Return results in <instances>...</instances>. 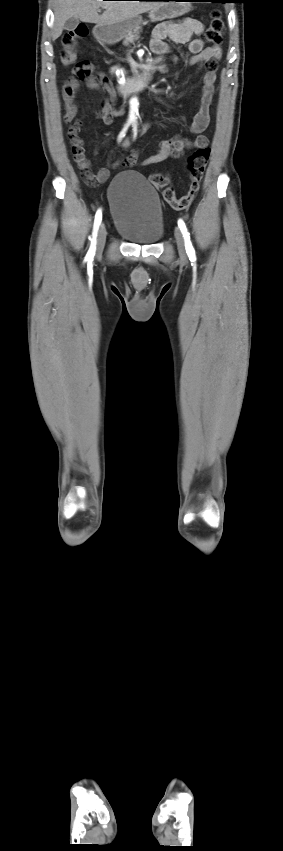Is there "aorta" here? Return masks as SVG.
<instances>
[{
	"instance_id": "obj_1",
	"label": "aorta",
	"mask_w": 283,
	"mask_h": 851,
	"mask_svg": "<svg viewBox=\"0 0 283 851\" xmlns=\"http://www.w3.org/2000/svg\"><path fill=\"white\" fill-rule=\"evenodd\" d=\"M132 106H133V110H135V108H136V100L135 99L132 100ZM131 119H134L133 113L131 114Z\"/></svg>"
}]
</instances>
